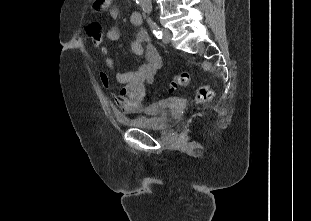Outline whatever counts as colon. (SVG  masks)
Returning <instances> with one entry per match:
<instances>
[{
  "mask_svg": "<svg viewBox=\"0 0 311 221\" xmlns=\"http://www.w3.org/2000/svg\"><path fill=\"white\" fill-rule=\"evenodd\" d=\"M88 37L94 48H100L103 40V28L97 21H93L88 25ZM190 83V75L187 71L176 75L173 80L168 84V90L173 91L179 87H186ZM213 90L207 86L202 85L197 89L196 101L198 104L210 101L213 98Z\"/></svg>",
  "mask_w": 311,
  "mask_h": 221,
  "instance_id": "5ec220e1",
  "label": "colon"
}]
</instances>
